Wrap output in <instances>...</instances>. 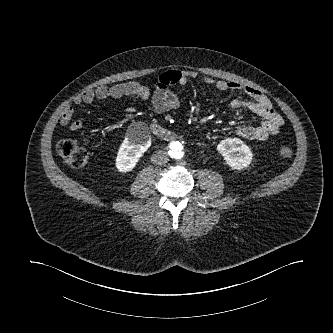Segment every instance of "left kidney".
I'll use <instances>...</instances> for the list:
<instances>
[{
  "instance_id": "left-kidney-1",
  "label": "left kidney",
  "mask_w": 333,
  "mask_h": 333,
  "mask_svg": "<svg viewBox=\"0 0 333 333\" xmlns=\"http://www.w3.org/2000/svg\"><path fill=\"white\" fill-rule=\"evenodd\" d=\"M218 152L226 163L236 170L248 167L253 159L251 149L238 138H227L217 145Z\"/></svg>"
}]
</instances>
